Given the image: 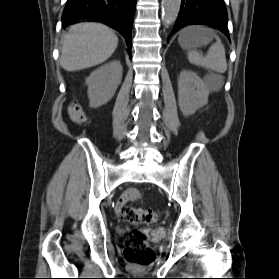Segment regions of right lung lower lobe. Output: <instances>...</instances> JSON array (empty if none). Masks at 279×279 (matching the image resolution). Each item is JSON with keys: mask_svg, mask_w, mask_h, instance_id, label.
<instances>
[{"mask_svg": "<svg viewBox=\"0 0 279 279\" xmlns=\"http://www.w3.org/2000/svg\"><path fill=\"white\" fill-rule=\"evenodd\" d=\"M135 0H67L62 15L65 28L78 19H94L118 30L126 39L131 55V33Z\"/></svg>", "mask_w": 279, "mask_h": 279, "instance_id": "1", "label": "right lung lower lobe"}]
</instances>
